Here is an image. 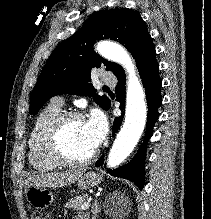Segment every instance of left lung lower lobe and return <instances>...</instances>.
<instances>
[{
	"label": "left lung lower lobe",
	"instance_id": "left-lung-lower-lobe-1",
	"mask_svg": "<svg viewBox=\"0 0 211 219\" xmlns=\"http://www.w3.org/2000/svg\"><path fill=\"white\" fill-rule=\"evenodd\" d=\"M142 83L145 88L146 98L148 103V119L146 125V134L144 141L137 151L134 158L126 165L109 170L113 176L121 177L133 181L141 190L144 187V167L146 158L147 142L152 136L153 126L158 119V108L162 102L161 96V79L159 77V65L156 60V51L153 46L152 38L149 36L141 48L134 56ZM118 79L116 86V100L120 102V110L125 109V73L121 69L115 74ZM122 123V116L117 117L113 123V135L119 129ZM104 157L97 161L96 165L101 166Z\"/></svg>",
	"mask_w": 211,
	"mask_h": 219
}]
</instances>
